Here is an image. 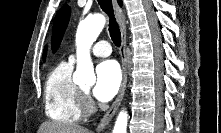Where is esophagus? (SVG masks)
Here are the masks:
<instances>
[{
    "mask_svg": "<svg viewBox=\"0 0 221 133\" xmlns=\"http://www.w3.org/2000/svg\"><path fill=\"white\" fill-rule=\"evenodd\" d=\"M113 6L115 9V13L117 16L118 24L121 30V46H120V58H121V66H122V82L118 92V95L109 108V110L105 113L103 118L101 119L100 123L98 124L96 131L100 133L103 129L107 127L110 123L111 119L115 115L118 110V107L123 99L126 84H127V57H126V22H125V15L123 13L122 8L118 5L116 0H113Z\"/></svg>",
    "mask_w": 221,
    "mask_h": 133,
    "instance_id": "obj_1",
    "label": "esophagus"
}]
</instances>
